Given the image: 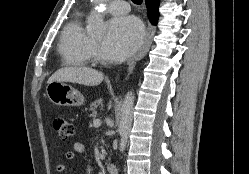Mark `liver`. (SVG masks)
Instances as JSON below:
<instances>
[{
    "instance_id": "6515ba94",
    "label": "liver",
    "mask_w": 249,
    "mask_h": 174,
    "mask_svg": "<svg viewBox=\"0 0 249 174\" xmlns=\"http://www.w3.org/2000/svg\"><path fill=\"white\" fill-rule=\"evenodd\" d=\"M103 74L88 67H64L57 70L49 79L53 81L78 83L85 86H96L103 81Z\"/></svg>"
}]
</instances>
